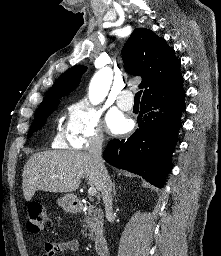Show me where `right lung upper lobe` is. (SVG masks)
<instances>
[{"label": "right lung upper lobe", "instance_id": "obj_1", "mask_svg": "<svg viewBox=\"0 0 221 256\" xmlns=\"http://www.w3.org/2000/svg\"><path fill=\"white\" fill-rule=\"evenodd\" d=\"M166 40L151 30L135 29L125 44L122 55L127 73L142 77L143 97L165 94L183 89L180 61ZM87 67L76 65L62 74L48 91L44 101L68 95L78 86Z\"/></svg>", "mask_w": 221, "mask_h": 256}]
</instances>
